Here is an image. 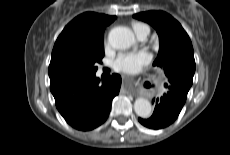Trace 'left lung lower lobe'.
Listing matches in <instances>:
<instances>
[{
    "label": "left lung lower lobe",
    "instance_id": "0a47b994",
    "mask_svg": "<svg viewBox=\"0 0 230 155\" xmlns=\"http://www.w3.org/2000/svg\"><path fill=\"white\" fill-rule=\"evenodd\" d=\"M164 86L168 91L152 101L155 104L153 115L149 119L139 118V122L148 128L161 129L172 124L184 106L191 87L177 79H169V82Z\"/></svg>",
    "mask_w": 230,
    "mask_h": 155
}]
</instances>
